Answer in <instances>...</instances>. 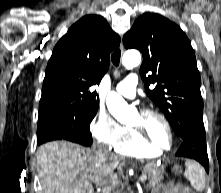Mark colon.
Masks as SVG:
<instances>
[{
    "label": "colon",
    "instance_id": "obj_1",
    "mask_svg": "<svg viewBox=\"0 0 221 193\" xmlns=\"http://www.w3.org/2000/svg\"><path fill=\"white\" fill-rule=\"evenodd\" d=\"M175 176L180 177L182 175V170L180 167H175L173 170ZM186 193H193L189 188L186 189Z\"/></svg>",
    "mask_w": 221,
    "mask_h": 193
}]
</instances>
